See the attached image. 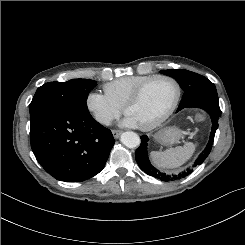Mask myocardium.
Masks as SVG:
<instances>
[{
    "label": "myocardium",
    "mask_w": 245,
    "mask_h": 245,
    "mask_svg": "<svg viewBox=\"0 0 245 245\" xmlns=\"http://www.w3.org/2000/svg\"><path fill=\"white\" fill-rule=\"evenodd\" d=\"M157 80H168V81L172 82L176 87V96H175L173 104L171 105L169 110L161 118H159L158 120H156V121H154L148 125L140 126V128L144 131H150V130L156 129V128L160 127L163 123H165L173 115V113L176 111V109L179 105V102L181 100L182 87H181L180 82L172 76L156 75V76H152L149 79L142 82L134 90V92L130 95V97L127 99V101L125 102V104L123 106L124 112L127 113V109L139 101V99L141 98L145 88L150 83L157 81Z\"/></svg>",
    "instance_id": "1"
}]
</instances>
